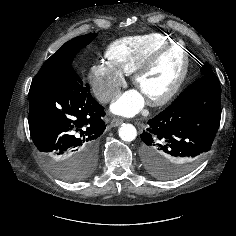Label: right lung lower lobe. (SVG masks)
Returning <instances> with one entry per match:
<instances>
[{"mask_svg": "<svg viewBox=\"0 0 236 236\" xmlns=\"http://www.w3.org/2000/svg\"><path fill=\"white\" fill-rule=\"evenodd\" d=\"M103 109L75 72L34 77L28 116L32 140L46 161L96 160L105 129Z\"/></svg>", "mask_w": 236, "mask_h": 236, "instance_id": "98d812e1", "label": "right lung lower lobe"}]
</instances>
